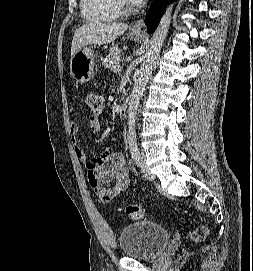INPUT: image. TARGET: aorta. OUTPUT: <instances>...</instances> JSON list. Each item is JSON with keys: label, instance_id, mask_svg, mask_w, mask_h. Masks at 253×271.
Segmentation results:
<instances>
[{"label": "aorta", "instance_id": "1", "mask_svg": "<svg viewBox=\"0 0 253 271\" xmlns=\"http://www.w3.org/2000/svg\"><path fill=\"white\" fill-rule=\"evenodd\" d=\"M173 3L168 4L164 15L162 16L159 25L152 35L149 41L148 49L144 56L141 68L135 79L133 89L130 95V101L128 106V140L132 141L136 139V114L138 110V105L142 94L144 92L145 86L149 80L152 73L155 60L160 53L161 47L166 39L168 30L172 20Z\"/></svg>", "mask_w": 253, "mask_h": 271}]
</instances>
